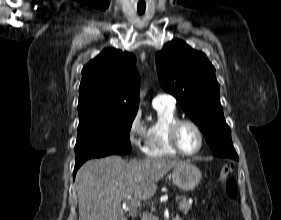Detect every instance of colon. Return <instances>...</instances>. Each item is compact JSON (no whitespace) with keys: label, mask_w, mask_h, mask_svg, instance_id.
<instances>
[{"label":"colon","mask_w":281,"mask_h":220,"mask_svg":"<svg viewBox=\"0 0 281 220\" xmlns=\"http://www.w3.org/2000/svg\"><path fill=\"white\" fill-rule=\"evenodd\" d=\"M233 171L231 164H225L220 171V179L225 183L226 194L229 198H235L238 192L237 182L234 178L230 177Z\"/></svg>","instance_id":"5ec220e1"}]
</instances>
